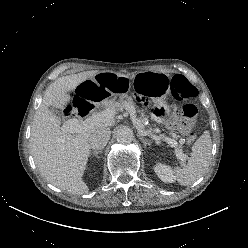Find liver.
<instances>
[{
  "instance_id": "liver-1",
  "label": "liver",
  "mask_w": 248,
  "mask_h": 248,
  "mask_svg": "<svg viewBox=\"0 0 248 248\" xmlns=\"http://www.w3.org/2000/svg\"><path fill=\"white\" fill-rule=\"evenodd\" d=\"M97 73L84 71L58 78L50 84L31 126V153L41 175L52 185L76 195L89 191L82 179L90 155L89 138L97 129L113 126L114 119L69 133L62 130L60 121L48 107L63 109L71 99L68 92Z\"/></svg>"
}]
</instances>
